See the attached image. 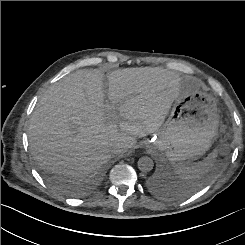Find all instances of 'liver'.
Masks as SVG:
<instances>
[{
    "label": "liver",
    "instance_id": "1",
    "mask_svg": "<svg viewBox=\"0 0 245 245\" xmlns=\"http://www.w3.org/2000/svg\"><path fill=\"white\" fill-rule=\"evenodd\" d=\"M103 77L78 70L43 93L28 127L38 165L72 177L88 175L157 131L181 92L182 78L171 71L125 68L109 74L105 103Z\"/></svg>",
    "mask_w": 245,
    "mask_h": 245
}]
</instances>
